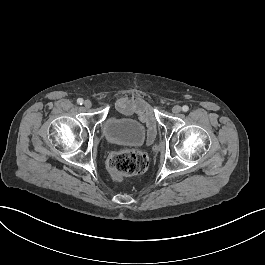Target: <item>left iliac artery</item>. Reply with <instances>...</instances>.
Wrapping results in <instances>:
<instances>
[{
	"mask_svg": "<svg viewBox=\"0 0 265 265\" xmlns=\"http://www.w3.org/2000/svg\"><path fill=\"white\" fill-rule=\"evenodd\" d=\"M182 110H183L184 112H187V111L189 110V107H188L187 105H184V106L182 107Z\"/></svg>",
	"mask_w": 265,
	"mask_h": 265,
	"instance_id": "1",
	"label": "left iliac artery"
}]
</instances>
